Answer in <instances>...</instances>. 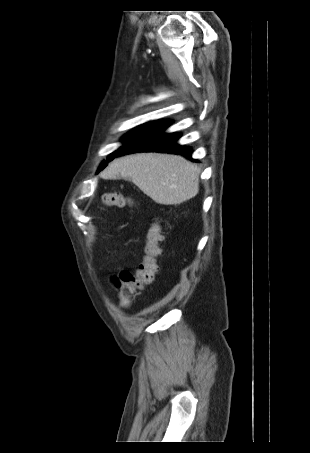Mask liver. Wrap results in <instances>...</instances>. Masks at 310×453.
I'll return each mask as SVG.
<instances>
[{"instance_id": "obj_1", "label": "liver", "mask_w": 310, "mask_h": 453, "mask_svg": "<svg viewBox=\"0 0 310 453\" xmlns=\"http://www.w3.org/2000/svg\"><path fill=\"white\" fill-rule=\"evenodd\" d=\"M118 174L132 182L156 203L181 204L199 192L200 169L177 155L139 153L113 161L101 173L103 179Z\"/></svg>"}]
</instances>
